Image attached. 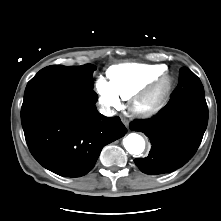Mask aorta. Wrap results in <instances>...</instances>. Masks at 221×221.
I'll use <instances>...</instances> for the list:
<instances>
[{
    "label": "aorta",
    "mask_w": 221,
    "mask_h": 221,
    "mask_svg": "<svg viewBox=\"0 0 221 221\" xmlns=\"http://www.w3.org/2000/svg\"><path fill=\"white\" fill-rule=\"evenodd\" d=\"M125 149L132 155H139L145 149L144 138L136 133H130L123 140Z\"/></svg>",
    "instance_id": "obj_1"
}]
</instances>
